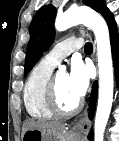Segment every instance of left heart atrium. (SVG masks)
Returning a JSON list of instances; mask_svg holds the SVG:
<instances>
[{"label": "left heart atrium", "instance_id": "obj_1", "mask_svg": "<svg viewBox=\"0 0 119 141\" xmlns=\"http://www.w3.org/2000/svg\"><path fill=\"white\" fill-rule=\"evenodd\" d=\"M89 69L81 60H74L68 74V85L73 94L80 99L87 91L89 85Z\"/></svg>", "mask_w": 119, "mask_h": 141}]
</instances>
